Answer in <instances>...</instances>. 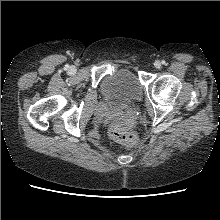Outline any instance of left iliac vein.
I'll list each match as a JSON object with an SVG mask.
<instances>
[{"instance_id": "1", "label": "left iliac vein", "mask_w": 220, "mask_h": 220, "mask_svg": "<svg viewBox=\"0 0 220 220\" xmlns=\"http://www.w3.org/2000/svg\"><path fill=\"white\" fill-rule=\"evenodd\" d=\"M154 66H155L156 68H160V67H161L160 61H156V62L154 63Z\"/></svg>"}]
</instances>
